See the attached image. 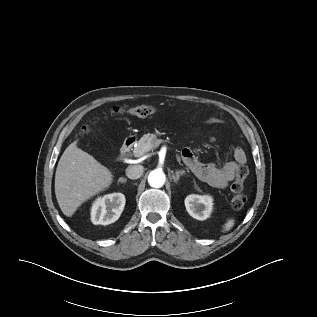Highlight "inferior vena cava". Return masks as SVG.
<instances>
[{
	"label": "inferior vena cava",
	"instance_id": "inferior-vena-cava-1",
	"mask_svg": "<svg viewBox=\"0 0 317 317\" xmlns=\"http://www.w3.org/2000/svg\"><path fill=\"white\" fill-rule=\"evenodd\" d=\"M144 168L142 165H131L126 168V175L129 179H138L143 174Z\"/></svg>",
	"mask_w": 317,
	"mask_h": 317
}]
</instances>
